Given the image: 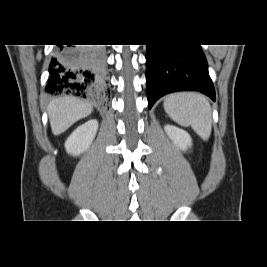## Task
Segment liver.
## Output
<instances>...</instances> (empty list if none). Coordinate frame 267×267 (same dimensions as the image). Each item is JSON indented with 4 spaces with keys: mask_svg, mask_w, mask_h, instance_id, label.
Instances as JSON below:
<instances>
[{
    "mask_svg": "<svg viewBox=\"0 0 267 267\" xmlns=\"http://www.w3.org/2000/svg\"><path fill=\"white\" fill-rule=\"evenodd\" d=\"M47 110L53 134L60 135L75 122L90 115L93 108L89 102L64 96L54 99Z\"/></svg>",
    "mask_w": 267,
    "mask_h": 267,
    "instance_id": "liver-1",
    "label": "liver"
}]
</instances>
